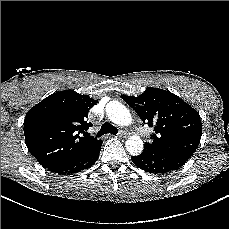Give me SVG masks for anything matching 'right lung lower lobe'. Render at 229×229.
Instances as JSON below:
<instances>
[{
  "instance_id": "98d812e1",
  "label": "right lung lower lobe",
  "mask_w": 229,
  "mask_h": 229,
  "mask_svg": "<svg viewBox=\"0 0 229 229\" xmlns=\"http://www.w3.org/2000/svg\"><path fill=\"white\" fill-rule=\"evenodd\" d=\"M102 141L68 159L61 160L53 165L45 166L49 171L58 174H74L92 166L99 157Z\"/></svg>"
}]
</instances>
